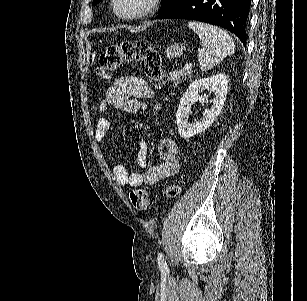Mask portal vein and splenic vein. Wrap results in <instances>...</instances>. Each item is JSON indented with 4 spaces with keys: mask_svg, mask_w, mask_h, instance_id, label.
Masks as SVG:
<instances>
[{
    "mask_svg": "<svg viewBox=\"0 0 307 301\" xmlns=\"http://www.w3.org/2000/svg\"><path fill=\"white\" fill-rule=\"evenodd\" d=\"M183 70H187V72H191V70H192V62H187V64H185Z\"/></svg>",
    "mask_w": 307,
    "mask_h": 301,
    "instance_id": "18ae733b",
    "label": "portal vein and splenic vein"
}]
</instances>
